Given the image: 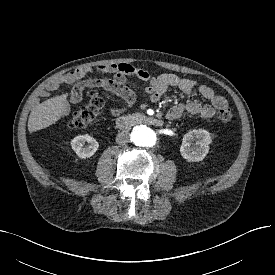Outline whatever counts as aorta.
<instances>
[{"label": "aorta", "mask_w": 275, "mask_h": 275, "mask_svg": "<svg viewBox=\"0 0 275 275\" xmlns=\"http://www.w3.org/2000/svg\"><path fill=\"white\" fill-rule=\"evenodd\" d=\"M131 139L139 147H153L156 143L154 131L145 125L136 126L131 133Z\"/></svg>", "instance_id": "1"}]
</instances>
